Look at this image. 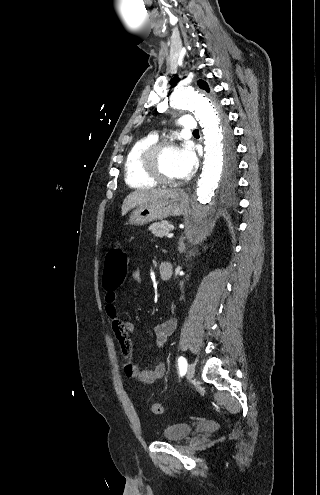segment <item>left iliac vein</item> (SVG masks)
Instances as JSON below:
<instances>
[{
	"mask_svg": "<svg viewBox=\"0 0 320 495\" xmlns=\"http://www.w3.org/2000/svg\"><path fill=\"white\" fill-rule=\"evenodd\" d=\"M186 375L188 378H192L195 375V367L193 364H189L187 368Z\"/></svg>",
	"mask_w": 320,
	"mask_h": 495,
	"instance_id": "left-iliac-vein-1",
	"label": "left iliac vein"
}]
</instances>
